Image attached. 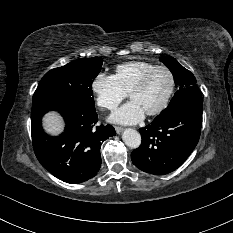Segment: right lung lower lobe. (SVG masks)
Masks as SVG:
<instances>
[{
	"label": "right lung lower lobe",
	"mask_w": 233,
	"mask_h": 233,
	"mask_svg": "<svg viewBox=\"0 0 233 233\" xmlns=\"http://www.w3.org/2000/svg\"><path fill=\"white\" fill-rule=\"evenodd\" d=\"M58 111L66 122L64 133L48 136L42 129V116ZM95 108L69 102L39 101L32 103L31 132L37 159L52 175L71 184L93 178L101 167L100 147L116 134L111 125L95 127Z\"/></svg>",
	"instance_id": "1"
}]
</instances>
